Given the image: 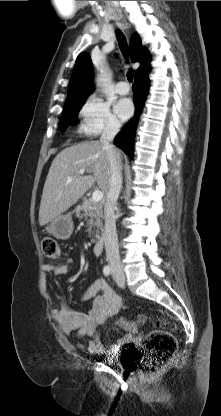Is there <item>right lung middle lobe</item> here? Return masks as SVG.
<instances>
[{
    "label": "right lung middle lobe",
    "mask_w": 221,
    "mask_h": 416,
    "mask_svg": "<svg viewBox=\"0 0 221 416\" xmlns=\"http://www.w3.org/2000/svg\"><path fill=\"white\" fill-rule=\"evenodd\" d=\"M84 101L85 99L66 102L61 121L62 130H65L70 124H76L78 122L76 117Z\"/></svg>",
    "instance_id": "dd1d6c3e"
}]
</instances>
